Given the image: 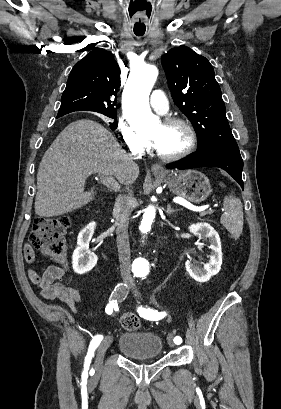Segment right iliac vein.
Instances as JSON below:
<instances>
[{"label":"right iliac vein","mask_w":281,"mask_h":409,"mask_svg":"<svg viewBox=\"0 0 281 409\" xmlns=\"http://www.w3.org/2000/svg\"><path fill=\"white\" fill-rule=\"evenodd\" d=\"M111 343H112V338L107 337V338H105V340H103V342L99 346V348L97 350V353H96V360H95V367H96L97 371L101 370L102 365H103V359H104L105 352L109 348Z\"/></svg>","instance_id":"right-iliac-vein-1"}]
</instances>
